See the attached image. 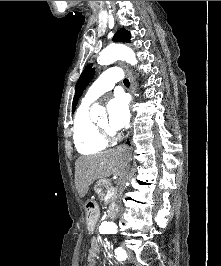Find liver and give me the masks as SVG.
I'll list each match as a JSON object with an SVG mask.
<instances>
[{
	"label": "liver",
	"mask_w": 221,
	"mask_h": 266,
	"mask_svg": "<svg viewBox=\"0 0 221 266\" xmlns=\"http://www.w3.org/2000/svg\"><path fill=\"white\" fill-rule=\"evenodd\" d=\"M129 157L127 147H118L96 155L79 157L75 162V186L79 196L83 198L89 186L97 179L111 175L121 178L125 174Z\"/></svg>",
	"instance_id": "1"
}]
</instances>
